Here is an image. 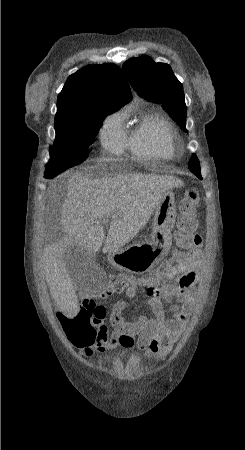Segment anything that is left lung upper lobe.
<instances>
[{"label": "left lung upper lobe", "mask_w": 245, "mask_h": 450, "mask_svg": "<svg viewBox=\"0 0 245 450\" xmlns=\"http://www.w3.org/2000/svg\"><path fill=\"white\" fill-rule=\"evenodd\" d=\"M123 72L139 96L162 103L169 115L186 130V105L182 84L166 63H155L150 57L132 58L123 64ZM202 179L200 163L194 154L188 165Z\"/></svg>", "instance_id": "5c2ea615"}]
</instances>
